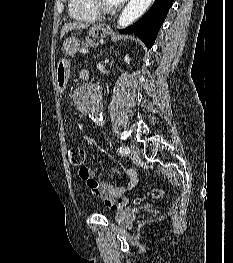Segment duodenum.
I'll return each mask as SVG.
<instances>
[{
  "mask_svg": "<svg viewBox=\"0 0 233 263\" xmlns=\"http://www.w3.org/2000/svg\"><path fill=\"white\" fill-rule=\"evenodd\" d=\"M80 77H81L82 80H88L89 77H90L89 71L86 70V69L82 70L81 73H80Z\"/></svg>",
  "mask_w": 233,
  "mask_h": 263,
  "instance_id": "duodenum-1",
  "label": "duodenum"
}]
</instances>
